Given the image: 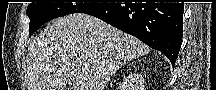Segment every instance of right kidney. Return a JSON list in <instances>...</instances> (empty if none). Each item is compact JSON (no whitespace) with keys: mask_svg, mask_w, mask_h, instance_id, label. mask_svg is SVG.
I'll return each mask as SVG.
<instances>
[{"mask_svg":"<svg viewBox=\"0 0 216 90\" xmlns=\"http://www.w3.org/2000/svg\"><path fill=\"white\" fill-rule=\"evenodd\" d=\"M136 82H137V78H136ZM138 82H139V84H142L143 78H140V80H138ZM138 82H137V84H138Z\"/></svg>","mask_w":216,"mask_h":90,"instance_id":"right-kidney-1","label":"right kidney"}]
</instances>
